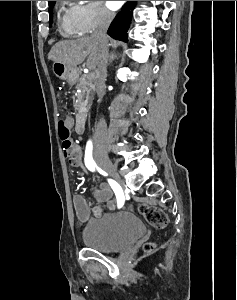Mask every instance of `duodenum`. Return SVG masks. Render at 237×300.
Instances as JSON below:
<instances>
[{
    "instance_id": "1",
    "label": "duodenum",
    "mask_w": 237,
    "mask_h": 300,
    "mask_svg": "<svg viewBox=\"0 0 237 300\" xmlns=\"http://www.w3.org/2000/svg\"><path fill=\"white\" fill-rule=\"evenodd\" d=\"M87 129V116L81 112L77 115L75 121V130L78 134H84Z\"/></svg>"
}]
</instances>
